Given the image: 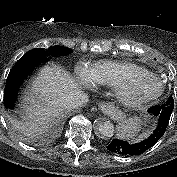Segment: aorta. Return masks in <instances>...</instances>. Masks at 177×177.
<instances>
[{"mask_svg":"<svg viewBox=\"0 0 177 177\" xmlns=\"http://www.w3.org/2000/svg\"><path fill=\"white\" fill-rule=\"evenodd\" d=\"M95 127L102 138H111L114 135V125L107 119L97 121Z\"/></svg>","mask_w":177,"mask_h":177,"instance_id":"aorta-1","label":"aorta"}]
</instances>
